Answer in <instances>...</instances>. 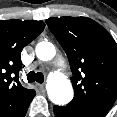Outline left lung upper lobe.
Wrapping results in <instances>:
<instances>
[{
	"label": "left lung upper lobe",
	"instance_id": "5c2ea615",
	"mask_svg": "<svg viewBox=\"0 0 117 117\" xmlns=\"http://www.w3.org/2000/svg\"><path fill=\"white\" fill-rule=\"evenodd\" d=\"M46 23L71 66L74 98L68 105L106 114L117 97L116 42L87 17L49 18Z\"/></svg>",
	"mask_w": 117,
	"mask_h": 117
}]
</instances>
